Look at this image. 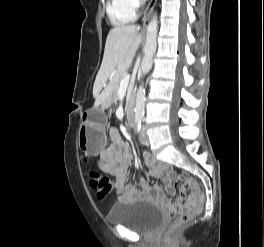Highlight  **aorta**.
I'll use <instances>...</instances> for the list:
<instances>
[{"mask_svg": "<svg viewBox=\"0 0 264 247\" xmlns=\"http://www.w3.org/2000/svg\"><path fill=\"white\" fill-rule=\"evenodd\" d=\"M158 17L154 14L147 25L144 57L141 62V71L146 75L152 68L153 56L157 48ZM145 89L143 83L139 85L136 93L135 121H141L144 116Z\"/></svg>", "mask_w": 264, "mask_h": 247, "instance_id": "obj_1", "label": "aorta"}]
</instances>
